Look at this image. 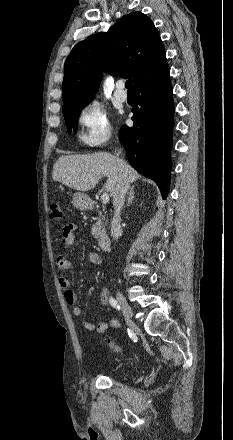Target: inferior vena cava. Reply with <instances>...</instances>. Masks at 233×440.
<instances>
[{
    "label": "inferior vena cava",
    "instance_id": "obj_1",
    "mask_svg": "<svg viewBox=\"0 0 233 440\" xmlns=\"http://www.w3.org/2000/svg\"><path fill=\"white\" fill-rule=\"evenodd\" d=\"M119 153L117 154V156H119ZM118 162L121 172H124L123 160L118 158ZM128 188H129V183L125 174L123 173L120 176L118 185L113 195L114 216L111 221V237H113V239L115 240H117L119 235L122 233V229L120 226L121 210L124 205L125 195L127 193Z\"/></svg>",
    "mask_w": 233,
    "mask_h": 440
}]
</instances>
